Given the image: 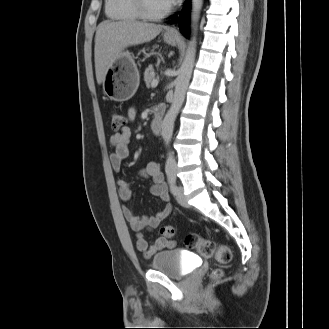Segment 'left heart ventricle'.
Masks as SVG:
<instances>
[{"mask_svg": "<svg viewBox=\"0 0 329 329\" xmlns=\"http://www.w3.org/2000/svg\"><path fill=\"white\" fill-rule=\"evenodd\" d=\"M146 4L154 13H159L169 7L165 0H146Z\"/></svg>", "mask_w": 329, "mask_h": 329, "instance_id": "b2bd125f", "label": "left heart ventricle"}]
</instances>
